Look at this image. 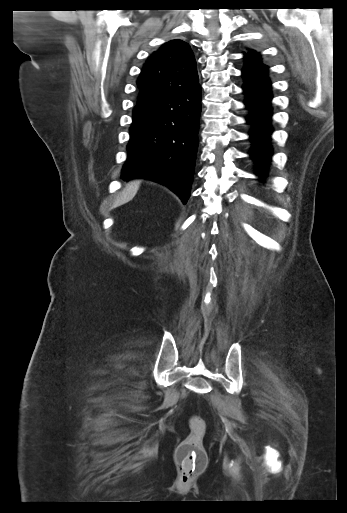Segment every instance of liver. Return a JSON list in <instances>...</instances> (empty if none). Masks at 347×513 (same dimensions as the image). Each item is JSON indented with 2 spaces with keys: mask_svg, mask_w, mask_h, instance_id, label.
Wrapping results in <instances>:
<instances>
[{
  "mask_svg": "<svg viewBox=\"0 0 347 513\" xmlns=\"http://www.w3.org/2000/svg\"><path fill=\"white\" fill-rule=\"evenodd\" d=\"M140 181H132L127 184L124 192L120 195V197L114 202L113 207H119L129 201H131L136 195L139 189Z\"/></svg>",
  "mask_w": 347,
  "mask_h": 513,
  "instance_id": "1",
  "label": "liver"
}]
</instances>
